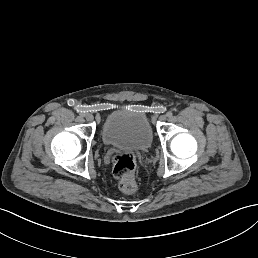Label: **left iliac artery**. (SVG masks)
<instances>
[{"label":"left iliac artery","mask_w":258,"mask_h":258,"mask_svg":"<svg viewBox=\"0 0 258 258\" xmlns=\"http://www.w3.org/2000/svg\"><path fill=\"white\" fill-rule=\"evenodd\" d=\"M166 116H167V117H172V116H173V112H172V111H168V112L166 113Z\"/></svg>","instance_id":"obj_1"}]
</instances>
